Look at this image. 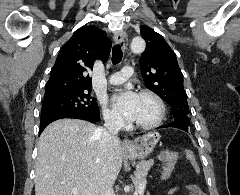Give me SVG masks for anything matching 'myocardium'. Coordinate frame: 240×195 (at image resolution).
<instances>
[{
	"instance_id": "obj_1",
	"label": "myocardium",
	"mask_w": 240,
	"mask_h": 195,
	"mask_svg": "<svg viewBox=\"0 0 240 195\" xmlns=\"http://www.w3.org/2000/svg\"><path fill=\"white\" fill-rule=\"evenodd\" d=\"M139 95L142 97H150L152 100H154L157 107V113L152 121L145 124L134 123L133 125H131V127L132 129L138 131H149L158 127L161 124L165 116V105L162 98L157 93L151 90H142Z\"/></svg>"
}]
</instances>
